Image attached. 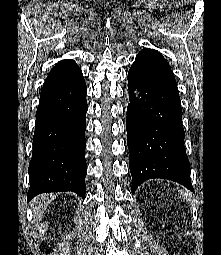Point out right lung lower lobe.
I'll return each instance as SVG.
<instances>
[{"mask_svg": "<svg viewBox=\"0 0 221 255\" xmlns=\"http://www.w3.org/2000/svg\"><path fill=\"white\" fill-rule=\"evenodd\" d=\"M87 87L73 60L55 65L40 93L29 164L28 201L40 193L85 197Z\"/></svg>", "mask_w": 221, "mask_h": 255, "instance_id": "obj_1", "label": "right lung lower lobe"}]
</instances>
